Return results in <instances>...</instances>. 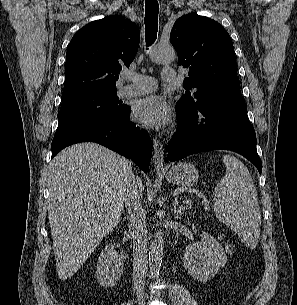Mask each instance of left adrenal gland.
Returning <instances> with one entry per match:
<instances>
[{
  "label": "left adrenal gland",
  "instance_id": "obj_1",
  "mask_svg": "<svg viewBox=\"0 0 297 305\" xmlns=\"http://www.w3.org/2000/svg\"><path fill=\"white\" fill-rule=\"evenodd\" d=\"M178 207V198H175L174 204H173V209H172V214L175 218H179L180 215L186 210L187 206H181Z\"/></svg>",
  "mask_w": 297,
  "mask_h": 305
}]
</instances>
